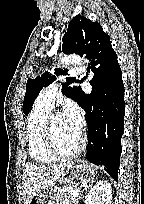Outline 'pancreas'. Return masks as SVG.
<instances>
[{
	"instance_id": "obj_1",
	"label": "pancreas",
	"mask_w": 144,
	"mask_h": 204,
	"mask_svg": "<svg viewBox=\"0 0 144 204\" xmlns=\"http://www.w3.org/2000/svg\"><path fill=\"white\" fill-rule=\"evenodd\" d=\"M72 190H76L73 187H63L58 189L54 195V201L49 204H77L78 197H75L71 194Z\"/></svg>"
}]
</instances>
